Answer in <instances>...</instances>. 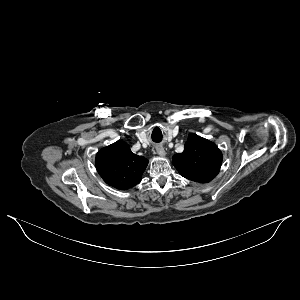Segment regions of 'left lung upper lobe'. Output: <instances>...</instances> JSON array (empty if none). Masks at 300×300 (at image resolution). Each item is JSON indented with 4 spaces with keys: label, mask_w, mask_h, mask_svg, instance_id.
Listing matches in <instances>:
<instances>
[{
    "label": "left lung upper lobe",
    "mask_w": 300,
    "mask_h": 300,
    "mask_svg": "<svg viewBox=\"0 0 300 300\" xmlns=\"http://www.w3.org/2000/svg\"><path fill=\"white\" fill-rule=\"evenodd\" d=\"M172 163L183 177L208 183L219 173L222 153L214 143L191 133L184 151L174 155Z\"/></svg>",
    "instance_id": "5c2ea615"
}]
</instances>
